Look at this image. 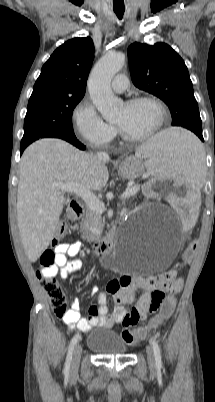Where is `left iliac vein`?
I'll use <instances>...</instances> for the list:
<instances>
[{"label": "left iliac vein", "instance_id": "left-iliac-vein-1", "mask_svg": "<svg viewBox=\"0 0 215 402\" xmlns=\"http://www.w3.org/2000/svg\"><path fill=\"white\" fill-rule=\"evenodd\" d=\"M146 351L149 367L151 370H154L156 367L154 352L150 346H147Z\"/></svg>", "mask_w": 215, "mask_h": 402}]
</instances>
